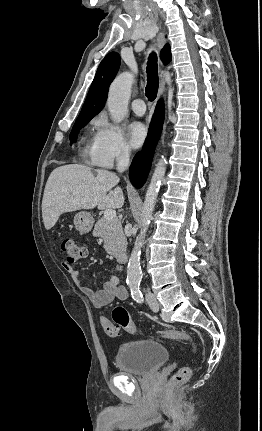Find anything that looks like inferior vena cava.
<instances>
[{
	"instance_id": "inferior-vena-cava-1",
	"label": "inferior vena cava",
	"mask_w": 262,
	"mask_h": 431,
	"mask_svg": "<svg viewBox=\"0 0 262 431\" xmlns=\"http://www.w3.org/2000/svg\"><path fill=\"white\" fill-rule=\"evenodd\" d=\"M116 166L118 172L122 173L129 165V151L122 149V151L116 157Z\"/></svg>"
}]
</instances>
